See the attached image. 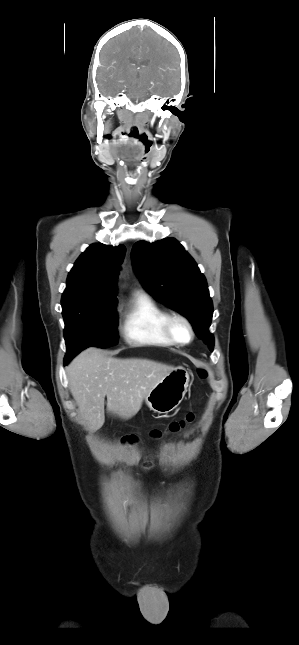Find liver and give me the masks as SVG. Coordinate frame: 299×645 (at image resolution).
Here are the masks:
<instances>
[{
  "label": "liver",
  "instance_id": "1",
  "mask_svg": "<svg viewBox=\"0 0 299 645\" xmlns=\"http://www.w3.org/2000/svg\"><path fill=\"white\" fill-rule=\"evenodd\" d=\"M174 369L147 359L107 357L90 347L71 361L66 372L86 429L94 432L105 422V397L108 412L130 419L150 390Z\"/></svg>",
  "mask_w": 299,
  "mask_h": 645
}]
</instances>
